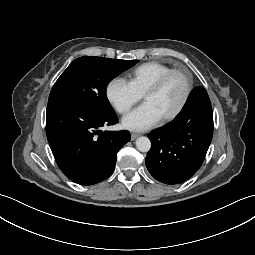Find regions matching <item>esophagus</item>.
I'll return each mask as SVG.
<instances>
[{
    "instance_id": "1",
    "label": "esophagus",
    "mask_w": 255,
    "mask_h": 255,
    "mask_svg": "<svg viewBox=\"0 0 255 255\" xmlns=\"http://www.w3.org/2000/svg\"><path fill=\"white\" fill-rule=\"evenodd\" d=\"M138 136L139 134L137 133H131V140H135Z\"/></svg>"
}]
</instances>
